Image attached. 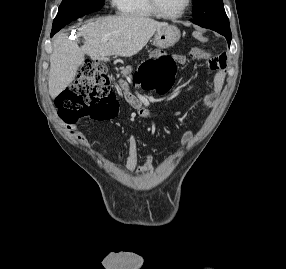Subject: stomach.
Listing matches in <instances>:
<instances>
[{
  "mask_svg": "<svg viewBox=\"0 0 286 269\" xmlns=\"http://www.w3.org/2000/svg\"><path fill=\"white\" fill-rule=\"evenodd\" d=\"M180 39V31L175 25H166L155 32L154 45L159 49L174 46Z\"/></svg>",
  "mask_w": 286,
  "mask_h": 269,
  "instance_id": "obj_1",
  "label": "stomach"
}]
</instances>
